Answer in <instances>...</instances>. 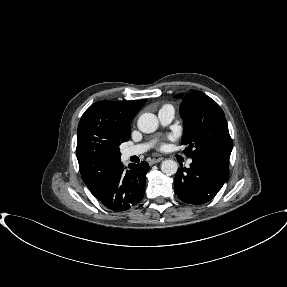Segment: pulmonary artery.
<instances>
[{"label": "pulmonary artery", "mask_w": 287, "mask_h": 287, "mask_svg": "<svg viewBox=\"0 0 287 287\" xmlns=\"http://www.w3.org/2000/svg\"><path fill=\"white\" fill-rule=\"evenodd\" d=\"M158 117H159L161 124L167 125L174 118V109L171 107L162 108V109H160V111L158 113ZM149 146L150 145L148 143H144V144H138V145L129 147L123 151V157L125 159H128L132 156L142 154L143 152H145L149 148ZM191 162L192 161L189 160L187 162V166H189L191 164Z\"/></svg>", "instance_id": "pulmonary-artery-1"}]
</instances>
